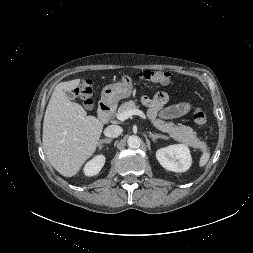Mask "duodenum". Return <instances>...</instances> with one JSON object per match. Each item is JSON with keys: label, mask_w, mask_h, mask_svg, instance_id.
<instances>
[{"label": "duodenum", "mask_w": 253, "mask_h": 253, "mask_svg": "<svg viewBox=\"0 0 253 253\" xmlns=\"http://www.w3.org/2000/svg\"><path fill=\"white\" fill-rule=\"evenodd\" d=\"M114 110L113 104L108 100H103L99 104L98 114L102 121L107 122Z\"/></svg>", "instance_id": "1"}]
</instances>
